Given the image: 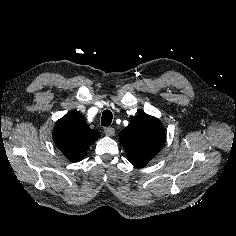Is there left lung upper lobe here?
<instances>
[{"instance_id": "5c2ea615", "label": "left lung upper lobe", "mask_w": 236, "mask_h": 236, "mask_svg": "<svg viewBox=\"0 0 236 236\" xmlns=\"http://www.w3.org/2000/svg\"><path fill=\"white\" fill-rule=\"evenodd\" d=\"M119 136L128 160L136 167H143L153 159L166 141L161 122L147 114L134 116Z\"/></svg>"}]
</instances>
